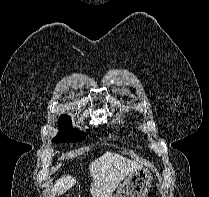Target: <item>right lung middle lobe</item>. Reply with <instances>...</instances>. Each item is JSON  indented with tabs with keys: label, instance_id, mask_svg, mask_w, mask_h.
<instances>
[{
	"label": "right lung middle lobe",
	"instance_id": "dd1d6c3e",
	"mask_svg": "<svg viewBox=\"0 0 209 197\" xmlns=\"http://www.w3.org/2000/svg\"><path fill=\"white\" fill-rule=\"evenodd\" d=\"M61 132L52 139L53 142H75L84 138L85 134L77 129H72L69 116L62 115L59 122Z\"/></svg>",
	"mask_w": 209,
	"mask_h": 197
}]
</instances>
